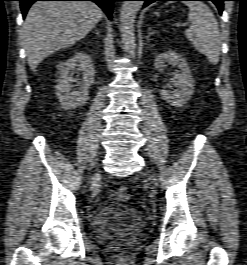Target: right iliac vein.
Wrapping results in <instances>:
<instances>
[{
  "mask_svg": "<svg viewBox=\"0 0 247 265\" xmlns=\"http://www.w3.org/2000/svg\"><path fill=\"white\" fill-rule=\"evenodd\" d=\"M98 177H99V172H97V173L95 174V176L93 177V180H96Z\"/></svg>",
  "mask_w": 247,
  "mask_h": 265,
  "instance_id": "obj_1",
  "label": "right iliac vein"
}]
</instances>
